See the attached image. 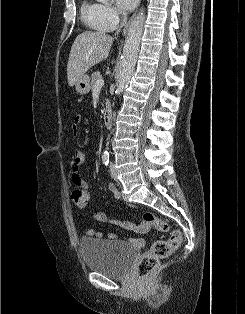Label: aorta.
I'll use <instances>...</instances> for the list:
<instances>
[{"mask_svg": "<svg viewBox=\"0 0 245 314\" xmlns=\"http://www.w3.org/2000/svg\"><path fill=\"white\" fill-rule=\"evenodd\" d=\"M98 1L102 3H107L109 0ZM144 21L145 12L143 9H141L130 24L128 34L125 40L118 73V89L120 91H123L127 88L133 75V71L137 62L141 36L143 33Z\"/></svg>", "mask_w": 245, "mask_h": 314, "instance_id": "obj_1", "label": "aorta"}]
</instances>
